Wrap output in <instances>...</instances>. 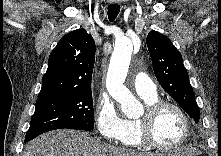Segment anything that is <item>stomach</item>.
Wrapping results in <instances>:
<instances>
[{
  "label": "stomach",
  "instance_id": "obj_1",
  "mask_svg": "<svg viewBox=\"0 0 221 156\" xmlns=\"http://www.w3.org/2000/svg\"><path fill=\"white\" fill-rule=\"evenodd\" d=\"M182 153H183V150H180V151H179V154H182ZM162 156H164V155H162ZM174 156H175V155H174Z\"/></svg>",
  "mask_w": 221,
  "mask_h": 156
}]
</instances>
